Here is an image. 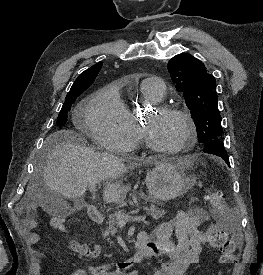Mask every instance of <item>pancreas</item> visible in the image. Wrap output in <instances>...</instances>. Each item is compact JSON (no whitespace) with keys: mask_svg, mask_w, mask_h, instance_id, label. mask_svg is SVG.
<instances>
[{"mask_svg":"<svg viewBox=\"0 0 263 275\" xmlns=\"http://www.w3.org/2000/svg\"><path fill=\"white\" fill-rule=\"evenodd\" d=\"M146 200H148L151 204L149 206V209L147 211L148 215H151L153 219H159L161 218L163 215H165V211L164 210H160L158 209L154 204L156 203V200L152 197H145ZM118 213H124V210H119V211H115L114 213L109 215L108 218V227L106 229L105 232H103V237H107L109 235H115L118 231L116 224H117V215ZM108 242H110L111 244L113 243L112 241H110V239H107Z\"/></svg>","mask_w":263,"mask_h":275,"instance_id":"obj_1","label":"pancreas"}]
</instances>
